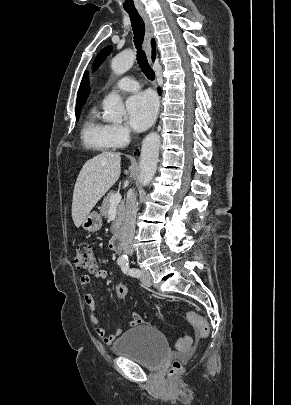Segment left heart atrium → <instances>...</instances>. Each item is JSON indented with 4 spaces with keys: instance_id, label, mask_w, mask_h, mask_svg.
<instances>
[{
    "instance_id": "39dd6f15",
    "label": "left heart atrium",
    "mask_w": 291,
    "mask_h": 405,
    "mask_svg": "<svg viewBox=\"0 0 291 405\" xmlns=\"http://www.w3.org/2000/svg\"><path fill=\"white\" fill-rule=\"evenodd\" d=\"M126 109L130 126L136 131H142L153 122L157 112V102L151 93L142 92L128 99Z\"/></svg>"
}]
</instances>
